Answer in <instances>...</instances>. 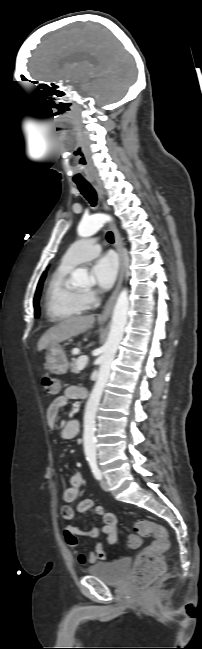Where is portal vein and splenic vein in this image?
<instances>
[{"mask_svg": "<svg viewBox=\"0 0 202 649\" xmlns=\"http://www.w3.org/2000/svg\"><path fill=\"white\" fill-rule=\"evenodd\" d=\"M87 362H88V357L81 356L77 361L78 369L83 370L86 367Z\"/></svg>", "mask_w": 202, "mask_h": 649, "instance_id": "18ae733b", "label": "portal vein and splenic vein"}]
</instances>
